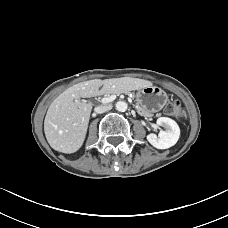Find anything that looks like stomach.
Masks as SVG:
<instances>
[{"label":"stomach","instance_id":"stomach-1","mask_svg":"<svg viewBox=\"0 0 228 228\" xmlns=\"http://www.w3.org/2000/svg\"><path fill=\"white\" fill-rule=\"evenodd\" d=\"M167 101L166 93L159 87L147 86L141 88L136 93V102L138 105L149 112L161 110Z\"/></svg>","mask_w":228,"mask_h":228}]
</instances>
